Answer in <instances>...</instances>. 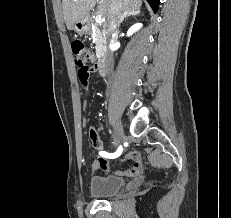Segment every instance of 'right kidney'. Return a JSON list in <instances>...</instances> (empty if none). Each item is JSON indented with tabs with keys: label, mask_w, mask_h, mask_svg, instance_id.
I'll return each mask as SVG.
<instances>
[{
	"label": "right kidney",
	"mask_w": 231,
	"mask_h": 218,
	"mask_svg": "<svg viewBox=\"0 0 231 218\" xmlns=\"http://www.w3.org/2000/svg\"><path fill=\"white\" fill-rule=\"evenodd\" d=\"M142 27L141 23H136L134 25H132L128 32H127V36H131L134 32H136L137 30H139Z\"/></svg>",
	"instance_id": "ca27d5eb"
}]
</instances>
